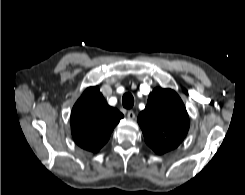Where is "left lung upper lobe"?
<instances>
[{
	"label": "left lung upper lobe",
	"instance_id": "5c2ea615",
	"mask_svg": "<svg viewBox=\"0 0 245 195\" xmlns=\"http://www.w3.org/2000/svg\"><path fill=\"white\" fill-rule=\"evenodd\" d=\"M138 123L145 142L157 154L176 148L189 129L186 108L172 89L155 88L148 97L146 108L139 114Z\"/></svg>",
	"mask_w": 245,
	"mask_h": 195
}]
</instances>
